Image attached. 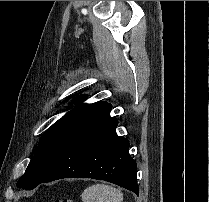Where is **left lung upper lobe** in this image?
<instances>
[{"label": "left lung upper lobe", "instance_id": "obj_1", "mask_svg": "<svg viewBox=\"0 0 209 202\" xmlns=\"http://www.w3.org/2000/svg\"><path fill=\"white\" fill-rule=\"evenodd\" d=\"M85 95L76 97L72 103L77 106L55 122L39 140L37 150L17 186L31 190L42 183L52 171L64 145L78 127L107 102L82 104Z\"/></svg>", "mask_w": 209, "mask_h": 202}]
</instances>
